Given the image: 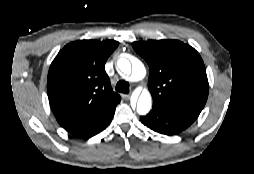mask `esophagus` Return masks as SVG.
I'll use <instances>...</instances> for the list:
<instances>
[{"mask_svg":"<svg viewBox=\"0 0 254 174\" xmlns=\"http://www.w3.org/2000/svg\"><path fill=\"white\" fill-rule=\"evenodd\" d=\"M122 98L124 100H129L130 99V94H122Z\"/></svg>","mask_w":254,"mask_h":174,"instance_id":"1","label":"esophagus"}]
</instances>
